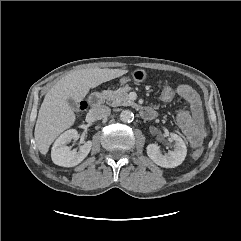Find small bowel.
I'll list each match as a JSON object with an SVG mask.
<instances>
[{
  "instance_id": "1",
  "label": "small bowel",
  "mask_w": 241,
  "mask_h": 241,
  "mask_svg": "<svg viewBox=\"0 0 241 241\" xmlns=\"http://www.w3.org/2000/svg\"><path fill=\"white\" fill-rule=\"evenodd\" d=\"M175 95L180 97L187 104L177 114V123L188 143L192 147L201 144L205 136L204 115L201 99L198 93L187 84H180L174 87Z\"/></svg>"
}]
</instances>
